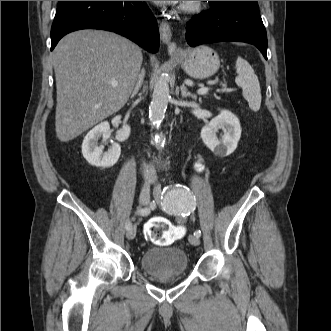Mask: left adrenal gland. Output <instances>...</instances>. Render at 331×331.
Wrapping results in <instances>:
<instances>
[{"label":"left adrenal gland","instance_id":"a2214340","mask_svg":"<svg viewBox=\"0 0 331 331\" xmlns=\"http://www.w3.org/2000/svg\"><path fill=\"white\" fill-rule=\"evenodd\" d=\"M180 90H181V96H182V98L191 97V98L194 99V100L197 99V97H196L195 94H192L191 92H189V91L187 90V87L185 86V84H182V85L180 86Z\"/></svg>","mask_w":331,"mask_h":331}]
</instances>
